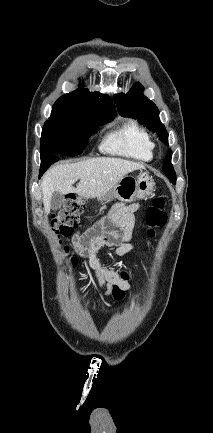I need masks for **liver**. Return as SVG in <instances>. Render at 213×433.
I'll use <instances>...</instances> for the list:
<instances>
[{
  "label": "liver",
  "mask_w": 213,
  "mask_h": 433,
  "mask_svg": "<svg viewBox=\"0 0 213 433\" xmlns=\"http://www.w3.org/2000/svg\"><path fill=\"white\" fill-rule=\"evenodd\" d=\"M140 163L121 158L98 157L72 164L54 166L41 182L44 211L50 212V200L55 191L63 195L76 193L84 199L101 198L126 174L143 169ZM80 180L77 187L73 184Z\"/></svg>",
  "instance_id": "obj_1"
}]
</instances>
